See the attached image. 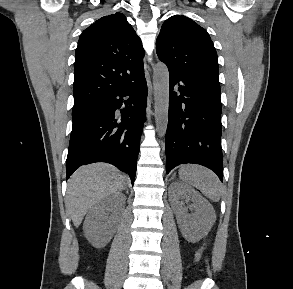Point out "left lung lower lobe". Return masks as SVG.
Returning a JSON list of instances; mask_svg holds the SVG:
<instances>
[{
	"instance_id": "left-lung-lower-lobe-1",
	"label": "left lung lower lobe",
	"mask_w": 293,
	"mask_h": 289,
	"mask_svg": "<svg viewBox=\"0 0 293 289\" xmlns=\"http://www.w3.org/2000/svg\"><path fill=\"white\" fill-rule=\"evenodd\" d=\"M169 113L166 132V172L195 163L223 180L220 87L169 73Z\"/></svg>"
}]
</instances>
